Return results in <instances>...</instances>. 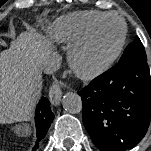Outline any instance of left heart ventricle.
<instances>
[{
    "mask_svg": "<svg viewBox=\"0 0 151 151\" xmlns=\"http://www.w3.org/2000/svg\"><path fill=\"white\" fill-rule=\"evenodd\" d=\"M121 32L122 25L117 19L105 20L93 36L85 60L90 64H98L108 58L116 48Z\"/></svg>",
    "mask_w": 151,
    "mask_h": 151,
    "instance_id": "obj_1",
    "label": "left heart ventricle"
}]
</instances>
